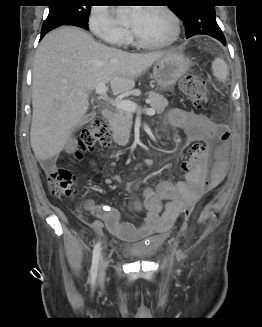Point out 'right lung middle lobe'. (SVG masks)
I'll use <instances>...</instances> for the list:
<instances>
[{
	"mask_svg": "<svg viewBox=\"0 0 262 327\" xmlns=\"http://www.w3.org/2000/svg\"><path fill=\"white\" fill-rule=\"evenodd\" d=\"M60 3L49 6V14L43 26L62 21H78L87 24L91 6H80L74 0H57Z\"/></svg>",
	"mask_w": 262,
	"mask_h": 327,
	"instance_id": "dd1d6c3e",
	"label": "right lung middle lobe"
}]
</instances>
